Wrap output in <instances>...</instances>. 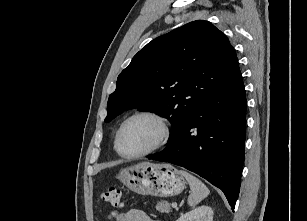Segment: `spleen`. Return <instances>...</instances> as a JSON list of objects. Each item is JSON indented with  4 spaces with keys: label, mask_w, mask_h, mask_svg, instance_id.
<instances>
[{
    "label": "spleen",
    "mask_w": 307,
    "mask_h": 221,
    "mask_svg": "<svg viewBox=\"0 0 307 221\" xmlns=\"http://www.w3.org/2000/svg\"><path fill=\"white\" fill-rule=\"evenodd\" d=\"M180 173L186 178L190 186L191 193L188 197V205L194 207L206 198L210 191L201 180L189 172L181 170Z\"/></svg>",
    "instance_id": "obj_1"
}]
</instances>
